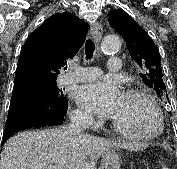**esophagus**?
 <instances>
[{"label": "esophagus", "instance_id": "1", "mask_svg": "<svg viewBox=\"0 0 177 169\" xmlns=\"http://www.w3.org/2000/svg\"><path fill=\"white\" fill-rule=\"evenodd\" d=\"M102 34H103V28L101 24L98 22L94 23L90 29V35L93 38V40L99 43L101 40Z\"/></svg>", "mask_w": 177, "mask_h": 169}]
</instances>
